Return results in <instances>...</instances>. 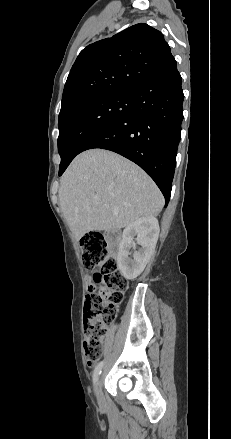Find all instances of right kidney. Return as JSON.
<instances>
[{"mask_svg": "<svg viewBox=\"0 0 231 439\" xmlns=\"http://www.w3.org/2000/svg\"><path fill=\"white\" fill-rule=\"evenodd\" d=\"M159 230L158 220L155 217H142L123 230L117 265L126 279L133 280L142 273L154 252ZM135 236L141 248L133 253L131 259L129 255Z\"/></svg>", "mask_w": 231, "mask_h": 439, "instance_id": "ca27d5eb", "label": "right kidney"}]
</instances>
